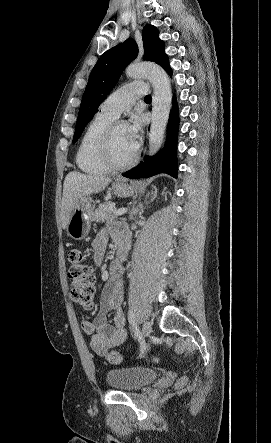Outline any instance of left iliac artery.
I'll list each match as a JSON object with an SVG mask.
<instances>
[{
	"instance_id": "1",
	"label": "left iliac artery",
	"mask_w": 271,
	"mask_h": 443,
	"mask_svg": "<svg viewBox=\"0 0 271 443\" xmlns=\"http://www.w3.org/2000/svg\"><path fill=\"white\" fill-rule=\"evenodd\" d=\"M128 320L130 322V325L133 329L134 335L137 338L139 344H140V354L139 357H142L145 354L146 351V342L139 330V328L137 327L136 321H135V316L132 310L128 311Z\"/></svg>"
}]
</instances>
